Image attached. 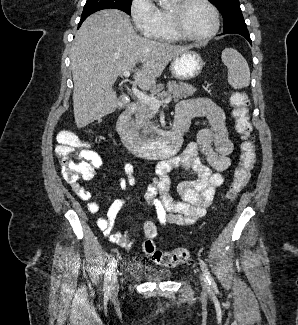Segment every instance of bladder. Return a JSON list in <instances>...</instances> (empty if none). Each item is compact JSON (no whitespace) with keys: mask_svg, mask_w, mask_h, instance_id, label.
<instances>
[{"mask_svg":"<svg viewBox=\"0 0 298 325\" xmlns=\"http://www.w3.org/2000/svg\"><path fill=\"white\" fill-rule=\"evenodd\" d=\"M131 276L147 282H162L172 277L168 269L157 268L140 260H133L128 267Z\"/></svg>","mask_w":298,"mask_h":325,"instance_id":"1","label":"bladder"}]
</instances>
